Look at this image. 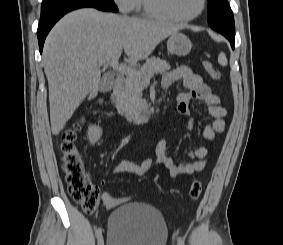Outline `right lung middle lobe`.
<instances>
[{"label": "right lung middle lobe", "instance_id": "1", "mask_svg": "<svg viewBox=\"0 0 283 245\" xmlns=\"http://www.w3.org/2000/svg\"><path fill=\"white\" fill-rule=\"evenodd\" d=\"M79 1H87V0H43L42 5H41V13L57 8V7H61V6L73 3V2H79ZM93 1L113 2V0H93Z\"/></svg>", "mask_w": 283, "mask_h": 245}]
</instances>
